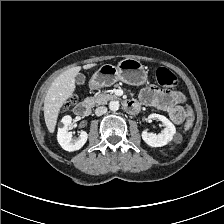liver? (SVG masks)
I'll use <instances>...</instances> for the list:
<instances>
[{"label":"liver","instance_id":"obj_1","mask_svg":"<svg viewBox=\"0 0 224 224\" xmlns=\"http://www.w3.org/2000/svg\"><path fill=\"white\" fill-rule=\"evenodd\" d=\"M96 64H87L83 67L76 66L64 71L51 84L44 101V119L50 133H54L61 107L75 91V76L81 68L87 70Z\"/></svg>","mask_w":224,"mask_h":224}]
</instances>
